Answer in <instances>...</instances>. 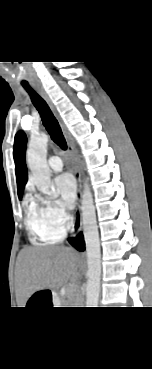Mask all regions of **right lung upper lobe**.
Returning a JSON list of instances; mask_svg holds the SVG:
<instances>
[{
    "label": "right lung upper lobe",
    "mask_w": 152,
    "mask_h": 369,
    "mask_svg": "<svg viewBox=\"0 0 152 369\" xmlns=\"http://www.w3.org/2000/svg\"><path fill=\"white\" fill-rule=\"evenodd\" d=\"M27 138L23 131H19L15 136L13 157L15 161V171L17 180V191L19 199H21L24 186L27 182V168L25 164V150Z\"/></svg>",
    "instance_id": "right-lung-upper-lobe-1"
}]
</instances>
